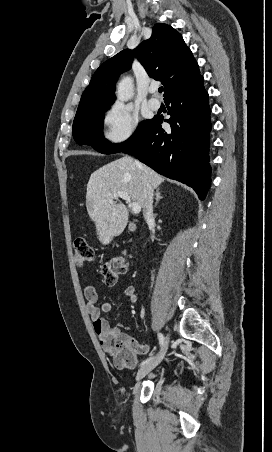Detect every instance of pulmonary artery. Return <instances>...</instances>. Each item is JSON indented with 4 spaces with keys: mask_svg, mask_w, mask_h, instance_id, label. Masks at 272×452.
Here are the masks:
<instances>
[{
    "mask_svg": "<svg viewBox=\"0 0 272 452\" xmlns=\"http://www.w3.org/2000/svg\"><path fill=\"white\" fill-rule=\"evenodd\" d=\"M149 92L151 94H155L156 92V87L155 86H151L149 89ZM148 105L152 110H158L161 106V102L160 100H158L157 98L152 97L151 99H149L148 101Z\"/></svg>",
    "mask_w": 272,
    "mask_h": 452,
    "instance_id": "e3ab8cb5",
    "label": "pulmonary artery"
}]
</instances>
